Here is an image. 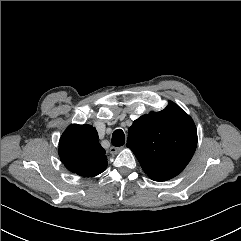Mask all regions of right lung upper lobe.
<instances>
[{"instance_id":"1","label":"right lung upper lobe","mask_w":241,"mask_h":241,"mask_svg":"<svg viewBox=\"0 0 241 241\" xmlns=\"http://www.w3.org/2000/svg\"><path fill=\"white\" fill-rule=\"evenodd\" d=\"M91 125L72 124L59 141V156L65 167L80 176L92 177L105 171V150Z\"/></svg>"}]
</instances>
